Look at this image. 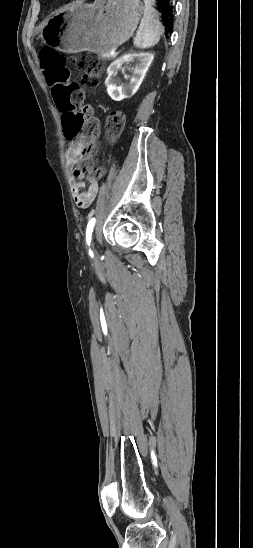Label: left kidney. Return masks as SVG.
<instances>
[{
    "instance_id": "obj_1",
    "label": "left kidney",
    "mask_w": 253,
    "mask_h": 548,
    "mask_svg": "<svg viewBox=\"0 0 253 548\" xmlns=\"http://www.w3.org/2000/svg\"><path fill=\"white\" fill-rule=\"evenodd\" d=\"M154 59L152 53H128L113 61L107 69L105 84L107 93L114 101H121L133 96L139 89L145 74ZM135 63L129 83L121 84L116 78L118 70L124 64Z\"/></svg>"
}]
</instances>
